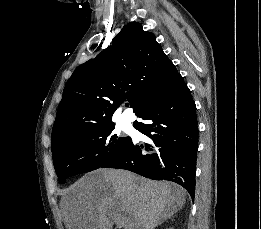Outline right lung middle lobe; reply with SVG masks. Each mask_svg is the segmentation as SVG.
<instances>
[{"instance_id":"obj_1","label":"right lung middle lobe","mask_w":261,"mask_h":229,"mask_svg":"<svg viewBox=\"0 0 261 229\" xmlns=\"http://www.w3.org/2000/svg\"><path fill=\"white\" fill-rule=\"evenodd\" d=\"M115 125H92L73 129V134L52 150L61 183L76 174L101 168L131 143L130 137L113 134Z\"/></svg>"}]
</instances>
